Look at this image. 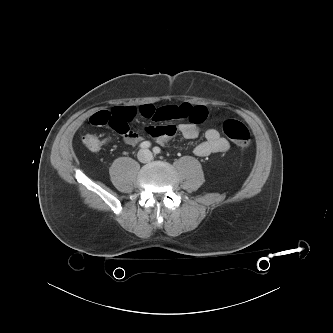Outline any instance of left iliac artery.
Segmentation results:
<instances>
[{"instance_id": "left-iliac-artery-1", "label": "left iliac artery", "mask_w": 333, "mask_h": 333, "mask_svg": "<svg viewBox=\"0 0 333 333\" xmlns=\"http://www.w3.org/2000/svg\"><path fill=\"white\" fill-rule=\"evenodd\" d=\"M160 152H161V149L159 147L156 146V147L153 148V153L154 154H159Z\"/></svg>"}]
</instances>
